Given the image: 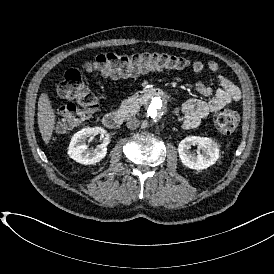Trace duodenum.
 Segmentation results:
<instances>
[{
  "mask_svg": "<svg viewBox=\"0 0 274 274\" xmlns=\"http://www.w3.org/2000/svg\"><path fill=\"white\" fill-rule=\"evenodd\" d=\"M155 97H166L165 94L158 89H147L140 92L134 97V102L137 104H144ZM125 118V113L123 111H109L103 115V124L109 129L119 128Z\"/></svg>",
  "mask_w": 274,
  "mask_h": 274,
  "instance_id": "duodenum-1",
  "label": "duodenum"
}]
</instances>
